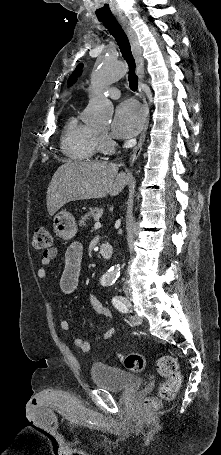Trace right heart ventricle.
<instances>
[{
    "label": "right heart ventricle",
    "mask_w": 221,
    "mask_h": 455,
    "mask_svg": "<svg viewBox=\"0 0 221 455\" xmlns=\"http://www.w3.org/2000/svg\"><path fill=\"white\" fill-rule=\"evenodd\" d=\"M98 131L93 126L82 123L76 115H71L61 137L62 152L72 160L86 161L98 150Z\"/></svg>",
    "instance_id": "right-heart-ventricle-1"
}]
</instances>
